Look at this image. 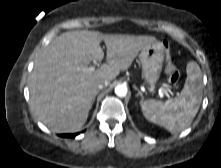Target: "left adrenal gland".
Instances as JSON below:
<instances>
[{"instance_id":"obj_1","label":"left adrenal gland","mask_w":221,"mask_h":168,"mask_svg":"<svg viewBox=\"0 0 221 168\" xmlns=\"http://www.w3.org/2000/svg\"><path fill=\"white\" fill-rule=\"evenodd\" d=\"M135 89L138 91V94L136 95V97H141V99L143 100V94H142V92L137 88V87H135Z\"/></svg>"}]
</instances>
